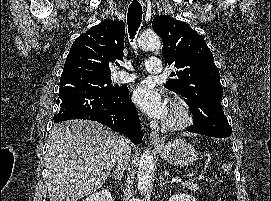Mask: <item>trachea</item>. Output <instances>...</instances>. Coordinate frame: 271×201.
<instances>
[{"instance_id":"obj_1","label":"trachea","mask_w":271,"mask_h":201,"mask_svg":"<svg viewBox=\"0 0 271 201\" xmlns=\"http://www.w3.org/2000/svg\"><path fill=\"white\" fill-rule=\"evenodd\" d=\"M142 21V6L133 0L128 8L127 22L130 39L133 40Z\"/></svg>"}]
</instances>
